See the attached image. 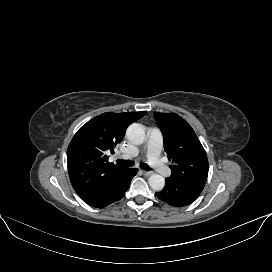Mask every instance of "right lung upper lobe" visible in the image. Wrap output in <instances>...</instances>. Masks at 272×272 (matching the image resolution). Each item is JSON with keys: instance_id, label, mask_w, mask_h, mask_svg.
I'll return each mask as SVG.
<instances>
[{"instance_id": "cb5924a9", "label": "right lung upper lobe", "mask_w": 272, "mask_h": 272, "mask_svg": "<svg viewBox=\"0 0 272 272\" xmlns=\"http://www.w3.org/2000/svg\"><path fill=\"white\" fill-rule=\"evenodd\" d=\"M146 111L103 113L83 125L67 150L71 184L79 196L98 187L123 167L108 162L107 151L123 139L125 129L145 115Z\"/></svg>"}]
</instances>
